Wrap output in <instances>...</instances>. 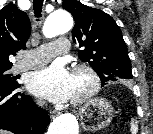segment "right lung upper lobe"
<instances>
[{
  "instance_id": "cb5924a9",
  "label": "right lung upper lobe",
  "mask_w": 153,
  "mask_h": 134,
  "mask_svg": "<svg viewBox=\"0 0 153 134\" xmlns=\"http://www.w3.org/2000/svg\"><path fill=\"white\" fill-rule=\"evenodd\" d=\"M30 32L28 16L16 5L8 4L0 10V69L12 67L9 55L26 48Z\"/></svg>"
}]
</instances>
